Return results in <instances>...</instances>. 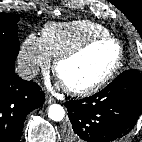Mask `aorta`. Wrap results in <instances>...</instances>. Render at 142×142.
<instances>
[{"instance_id":"aorta-1","label":"aorta","mask_w":142,"mask_h":142,"mask_svg":"<svg viewBox=\"0 0 142 142\" xmlns=\"http://www.w3.org/2000/svg\"><path fill=\"white\" fill-rule=\"evenodd\" d=\"M48 116L53 121L59 122L62 121L65 117V110L59 104H53L48 109Z\"/></svg>"}]
</instances>
